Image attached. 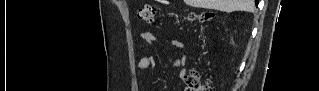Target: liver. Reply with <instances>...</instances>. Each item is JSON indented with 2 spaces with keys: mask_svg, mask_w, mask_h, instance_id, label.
Instances as JSON below:
<instances>
[{
  "mask_svg": "<svg viewBox=\"0 0 319 91\" xmlns=\"http://www.w3.org/2000/svg\"><path fill=\"white\" fill-rule=\"evenodd\" d=\"M189 6L231 13L234 11L254 12V0H184Z\"/></svg>",
  "mask_w": 319,
  "mask_h": 91,
  "instance_id": "1",
  "label": "liver"
}]
</instances>
